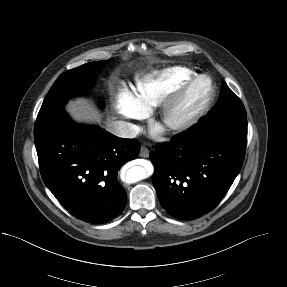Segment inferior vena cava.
<instances>
[{"instance_id": "inferior-vena-cava-1", "label": "inferior vena cava", "mask_w": 287, "mask_h": 287, "mask_svg": "<svg viewBox=\"0 0 287 287\" xmlns=\"http://www.w3.org/2000/svg\"><path fill=\"white\" fill-rule=\"evenodd\" d=\"M109 131L121 138H135L138 134L137 126L125 121H113Z\"/></svg>"}]
</instances>
